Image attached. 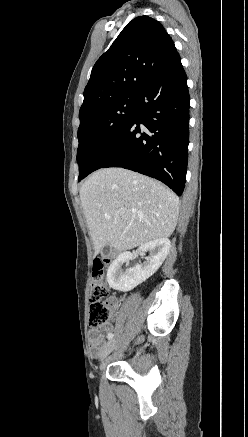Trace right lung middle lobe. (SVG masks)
<instances>
[{
	"label": "right lung middle lobe",
	"instance_id": "dd1d6c3e",
	"mask_svg": "<svg viewBox=\"0 0 248 437\" xmlns=\"http://www.w3.org/2000/svg\"><path fill=\"white\" fill-rule=\"evenodd\" d=\"M136 96L123 97L80 121L77 162L78 181L88 175L95 158L120 133L133 115Z\"/></svg>",
	"mask_w": 248,
	"mask_h": 437
}]
</instances>
